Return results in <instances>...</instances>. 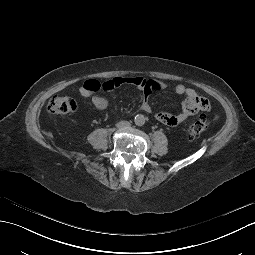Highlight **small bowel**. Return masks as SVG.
I'll return each instance as SVG.
<instances>
[{"label":"small bowel","instance_id":"c3829d8e","mask_svg":"<svg viewBox=\"0 0 255 255\" xmlns=\"http://www.w3.org/2000/svg\"><path fill=\"white\" fill-rule=\"evenodd\" d=\"M133 86L143 92L142 103L140 109L148 114L153 112L152 107L148 103L149 96L153 91H162L167 88V84L159 79L150 78L146 79L141 76L132 77H114L103 83L98 80L90 79L86 80L79 88L81 96L91 98L94 106L99 110H106L109 106V102L106 98L100 95L101 91H111L122 86ZM176 94L183 96L182 109L179 113H167L158 112L155 113L157 121L174 127L188 119L189 117L196 115L200 111H209V101L200 96L194 89L188 88L183 84H177L175 86Z\"/></svg>","mask_w":255,"mask_h":255}]
</instances>
